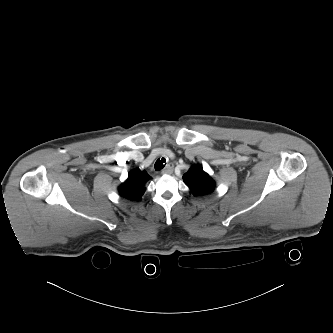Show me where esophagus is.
I'll return each mask as SVG.
<instances>
[{"mask_svg":"<svg viewBox=\"0 0 333 333\" xmlns=\"http://www.w3.org/2000/svg\"><path fill=\"white\" fill-rule=\"evenodd\" d=\"M174 170V164L173 163H169L166 165V167L161 171V174H172Z\"/></svg>","mask_w":333,"mask_h":333,"instance_id":"obj_1","label":"esophagus"}]
</instances>
